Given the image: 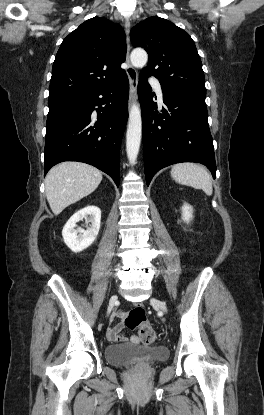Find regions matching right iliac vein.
Returning a JSON list of instances; mask_svg holds the SVG:
<instances>
[{
    "label": "right iliac vein",
    "mask_w": 264,
    "mask_h": 415,
    "mask_svg": "<svg viewBox=\"0 0 264 415\" xmlns=\"http://www.w3.org/2000/svg\"><path fill=\"white\" fill-rule=\"evenodd\" d=\"M117 295H113L110 300H109V305H108V309H107V316L111 313L115 303L117 302Z\"/></svg>",
    "instance_id": "1"
}]
</instances>
